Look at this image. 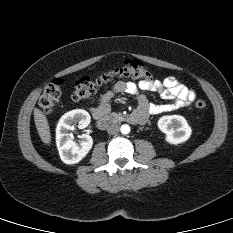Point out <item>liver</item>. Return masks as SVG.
<instances>
[{"label":"liver","instance_id":"1","mask_svg":"<svg viewBox=\"0 0 233 233\" xmlns=\"http://www.w3.org/2000/svg\"><path fill=\"white\" fill-rule=\"evenodd\" d=\"M33 113H34V121L38 134L42 142L46 145H49L51 142V133H50L48 120L44 115V113L38 108H34Z\"/></svg>","mask_w":233,"mask_h":233}]
</instances>
